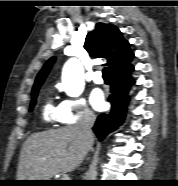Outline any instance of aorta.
<instances>
[{
  "label": "aorta",
  "mask_w": 178,
  "mask_h": 186,
  "mask_svg": "<svg viewBox=\"0 0 178 186\" xmlns=\"http://www.w3.org/2000/svg\"><path fill=\"white\" fill-rule=\"evenodd\" d=\"M62 84L67 95L78 97L84 90L83 66L76 58L69 59L62 71Z\"/></svg>",
  "instance_id": "762f6f07"
}]
</instances>
